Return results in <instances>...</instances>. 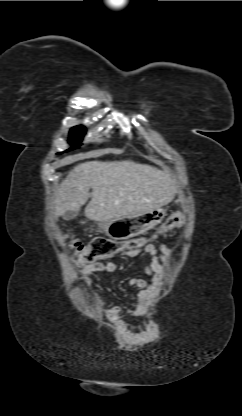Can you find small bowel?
Instances as JSON below:
<instances>
[{
    "mask_svg": "<svg viewBox=\"0 0 242 416\" xmlns=\"http://www.w3.org/2000/svg\"><path fill=\"white\" fill-rule=\"evenodd\" d=\"M139 252H144L147 256L145 272L149 276V280L141 277H131L128 280V284L131 287L140 289L136 300L131 303L129 310L126 311L121 306H113L105 311L108 321L126 337L130 333L123 321L124 315L141 317L148 312L156 298L159 288L164 284L165 265L173 256V250L171 248L165 245L156 247L152 244L122 254L131 257L137 255ZM117 269L118 265L115 262H99L83 265L79 273L82 275L86 289L90 290L92 286L91 276L93 274H110L114 273Z\"/></svg>",
    "mask_w": 242,
    "mask_h": 416,
    "instance_id": "obj_1",
    "label": "small bowel"
}]
</instances>
